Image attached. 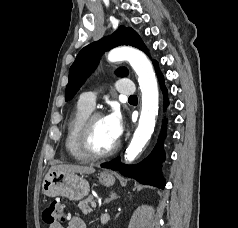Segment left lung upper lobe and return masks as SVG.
<instances>
[{
  "mask_svg": "<svg viewBox=\"0 0 238 228\" xmlns=\"http://www.w3.org/2000/svg\"><path fill=\"white\" fill-rule=\"evenodd\" d=\"M120 45L134 46L148 54L147 47L136 31L130 27L120 26L111 36L87 45L78 53L76 60L70 67L69 82L66 86V100L74 97L86 78L96 68L101 55L105 51ZM116 74L126 76L128 71L125 67H121Z\"/></svg>",
  "mask_w": 238,
  "mask_h": 228,
  "instance_id": "left-lung-upper-lobe-1",
  "label": "left lung upper lobe"
}]
</instances>
